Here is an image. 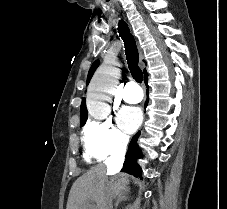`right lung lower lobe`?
Wrapping results in <instances>:
<instances>
[{
	"label": "right lung lower lobe",
	"instance_id": "98d812e1",
	"mask_svg": "<svg viewBox=\"0 0 227 209\" xmlns=\"http://www.w3.org/2000/svg\"><path fill=\"white\" fill-rule=\"evenodd\" d=\"M147 77H148V75L146 77H144V81L146 84H147ZM147 103H148V99L145 102V107L147 106ZM139 136H140V132H137L131 139L129 148H128V151L126 154V159H125V162H124V165H123V168L121 171L132 174L136 177L142 178L141 168L139 167V165L136 162V159L141 157V153H140V150L137 145V140H138Z\"/></svg>",
	"mask_w": 227,
	"mask_h": 209
}]
</instances>
